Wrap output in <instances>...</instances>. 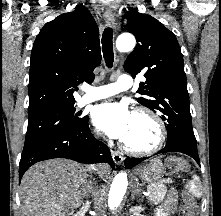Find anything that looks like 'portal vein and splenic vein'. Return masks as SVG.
Wrapping results in <instances>:
<instances>
[{
	"mask_svg": "<svg viewBox=\"0 0 221 216\" xmlns=\"http://www.w3.org/2000/svg\"><path fill=\"white\" fill-rule=\"evenodd\" d=\"M145 195H146V196H149V195H150V192L145 193Z\"/></svg>",
	"mask_w": 221,
	"mask_h": 216,
	"instance_id": "obj_1",
	"label": "portal vein and splenic vein"
}]
</instances>
